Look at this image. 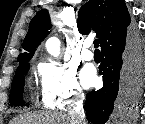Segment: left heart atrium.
<instances>
[{
	"mask_svg": "<svg viewBox=\"0 0 145 124\" xmlns=\"http://www.w3.org/2000/svg\"><path fill=\"white\" fill-rule=\"evenodd\" d=\"M82 82L85 86H91L95 82V71L91 67H86L82 71Z\"/></svg>",
	"mask_w": 145,
	"mask_h": 124,
	"instance_id": "obj_1",
	"label": "left heart atrium"
}]
</instances>
